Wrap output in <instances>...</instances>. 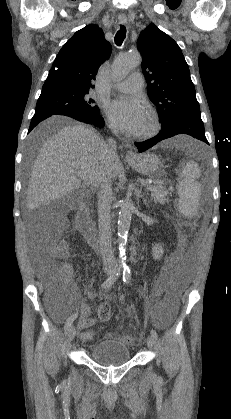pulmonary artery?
Masks as SVG:
<instances>
[{
  "label": "pulmonary artery",
  "instance_id": "obj_1",
  "mask_svg": "<svg viewBox=\"0 0 231 419\" xmlns=\"http://www.w3.org/2000/svg\"><path fill=\"white\" fill-rule=\"evenodd\" d=\"M144 85L143 77L140 73H132L124 81L116 85V89L126 93H138Z\"/></svg>",
  "mask_w": 231,
  "mask_h": 419
}]
</instances>
